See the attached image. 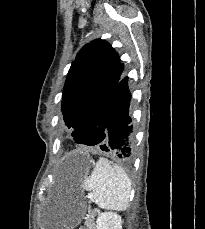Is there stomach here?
<instances>
[{
	"label": "stomach",
	"mask_w": 205,
	"mask_h": 229,
	"mask_svg": "<svg viewBox=\"0 0 205 229\" xmlns=\"http://www.w3.org/2000/svg\"><path fill=\"white\" fill-rule=\"evenodd\" d=\"M91 162L88 156H81V175L87 173ZM82 215L81 208L61 199L55 200L42 206L39 226L41 229H74L80 224Z\"/></svg>",
	"instance_id": "stomach-1"
}]
</instances>
